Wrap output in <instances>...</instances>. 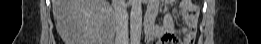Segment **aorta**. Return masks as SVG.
<instances>
[{
  "mask_svg": "<svg viewBox=\"0 0 261 44\" xmlns=\"http://www.w3.org/2000/svg\"><path fill=\"white\" fill-rule=\"evenodd\" d=\"M142 31V4L141 0H131L130 38L135 44L141 39Z\"/></svg>",
  "mask_w": 261,
  "mask_h": 44,
  "instance_id": "762f6f07",
  "label": "aorta"
}]
</instances>
